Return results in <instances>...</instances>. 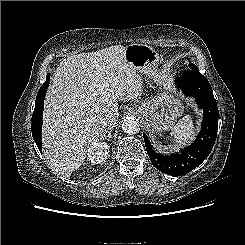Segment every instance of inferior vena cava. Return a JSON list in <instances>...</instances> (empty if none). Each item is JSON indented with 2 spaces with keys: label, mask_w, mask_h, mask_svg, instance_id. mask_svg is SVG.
Masks as SVG:
<instances>
[{
  "label": "inferior vena cava",
  "mask_w": 245,
  "mask_h": 245,
  "mask_svg": "<svg viewBox=\"0 0 245 245\" xmlns=\"http://www.w3.org/2000/svg\"><path fill=\"white\" fill-rule=\"evenodd\" d=\"M117 118L114 115L106 114L102 119V124L107 130H111L116 125Z\"/></svg>",
  "instance_id": "1"
}]
</instances>
